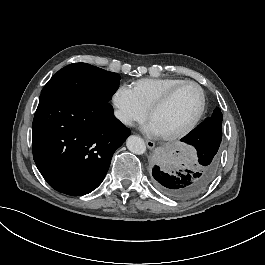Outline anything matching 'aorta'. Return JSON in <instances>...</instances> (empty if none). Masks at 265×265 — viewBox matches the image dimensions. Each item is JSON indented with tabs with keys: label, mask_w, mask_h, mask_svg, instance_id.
I'll list each match as a JSON object with an SVG mask.
<instances>
[{
	"label": "aorta",
	"mask_w": 265,
	"mask_h": 265,
	"mask_svg": "<svg viewBox=\"0 0 265 265\" xmlns=\"http://www.w3.org/2000/svg\"><path fill=\"white\" fill-rule=\"evenodd\" d=\"M128 150L134 154L141 155L146 151L144 140L138 136L131 135L126 141Z\"/></svg>",
	"instance_id": "762f6f07"
}]
</instances>
